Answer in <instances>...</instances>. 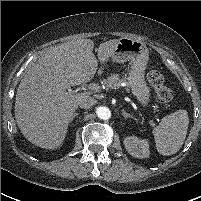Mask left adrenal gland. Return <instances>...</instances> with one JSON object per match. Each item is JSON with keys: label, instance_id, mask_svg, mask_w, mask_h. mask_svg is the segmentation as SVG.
I'll return each mask as SVG.
<instances>
[{"label": "left adrenal gland", "instance_id": "a2214340", "mask_svg": "<svg viewBox=\"0 0 201 201\" xmlns=\"http://www.w3.org/2000/svg\"><path fill=\"white\" fill-rule=\"evenodd\" d=\"M122 115L124 116V118H132V119H134L135 121H138L137 118H135L132 114L127 113L124 109H122Z\"/></svg>", "mask_w": 201, "mask_h": 201}]
</instances>
